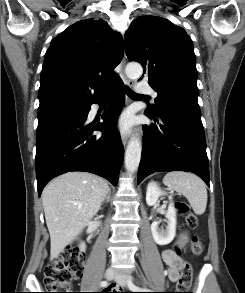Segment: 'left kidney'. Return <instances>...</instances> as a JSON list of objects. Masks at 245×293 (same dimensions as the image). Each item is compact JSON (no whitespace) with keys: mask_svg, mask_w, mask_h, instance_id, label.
<instances>
[{"mask_svg":"<svg viewBox=\"0 0 245 293\" xmlns=\"http://www.w3.org/2000/svg\"><path fill=\"white\" fill-rule=\"evenodd\" d=\"M162 195H165V193L158 187V185L155 182H150L147 186L146 203L149 206H154ZM166 218V229H160L159 223L156 221L151 224L152 236L158 245H167L171 243L176 234V210L172 202H170L168 206Z\"/></svg>","mask_w":245,"mask_h":293,"instance_id":"obj_1","label":"left kidney"}]
</instances>
